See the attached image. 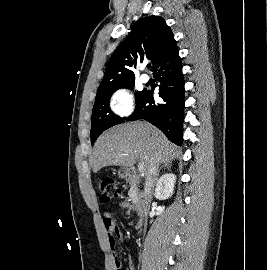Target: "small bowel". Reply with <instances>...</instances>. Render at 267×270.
<instances>
[{
  "label": "small bowel",
  "mask_w": 267,
  "mask_h": 270,
  "mask_svg": "<svg viewBox=\"0 0 267 270\" xmlns=\"http://www.w3.org/2000/svg\"><path fill=\"white\" fill-rule=\"evenodd\" d=\"M119 207L126 210L129 213L132 209L131 205L126 201L119 202ZM131 225L134 226L136 229H140L142 227V222L140 220H133L131 221ZM104 226L109 236V241L113 250V260L114 266L117 269L116 261L118 257V253L115 249L116 241L121 240L123 235L121 230L116 226L115 222L113 221V214L107 213L104 217ZM130 270H132V262L129 260Z\"/></svg>",
  "instance_id": "c3829d8e"
}]
</instances>
